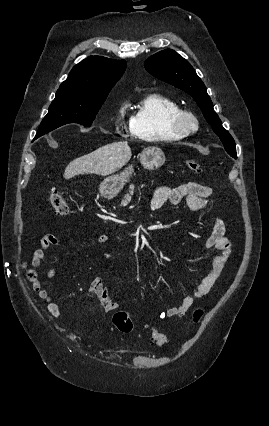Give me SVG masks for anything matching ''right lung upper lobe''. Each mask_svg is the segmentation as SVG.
<instances>
[{
    "mask_svg": "<svg viewBox=\"0 0 269 426\" xmlns=\"http://www.w3.org/2000/svg\"><path fill=\"white\" fill-rule=\"evenodd\" d=\"M126 69L124 60L91 56L73 67L56 95L79 98L107 96Z\"/></svg>",
    "mask_w": 269,
    "mask_h": 426,
    "instance_id": "cb5924a9",
    "label": "right lung upper lobe"
}]
</instances>
